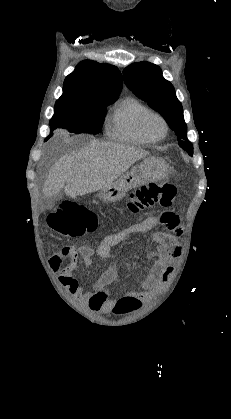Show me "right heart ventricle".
Listing matches in <instances>:
<instances>
[{
	"mask_svg": "<svg viewBox=\"0 0 231 419\" xmlns=\"http://www.w3.org/2000/svg\"><path fill=\"white\" fill-rule=\"evenodd\" d=\"M148 112L149 108L137 99H125L113 109L107 124L108 135L113 139L137 145L150 143L141 130L142 118Z\"/></svg>",
	"mask_w": 231,
	"mask_h": 419,
	"instance_id": "right-heart-ventricle-1",
	"label": "right heart ventricle"
}]
</instances>
